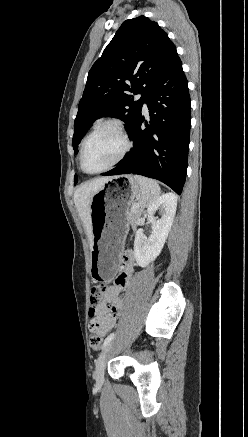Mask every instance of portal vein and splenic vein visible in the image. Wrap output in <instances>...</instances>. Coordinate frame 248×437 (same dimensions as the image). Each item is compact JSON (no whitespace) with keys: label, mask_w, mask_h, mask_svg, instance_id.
<instances>
[{"label":"portal vein and splenic vein","mask_w":248,"mask_h":437,"mask_svg":"<svg viewBox=\"0 0 248 437\" xmlns=\"http://www.w3.org/2000/svg\"><path fill=\"white\" fill-rule=\"evenodd\" d=\"M134 207H135V208H138V207H139V205H138V204H135V205H134Z\"/></svg>","instance_id":"18ae733b"}]
</instances>
